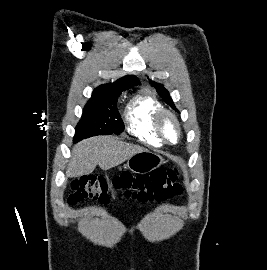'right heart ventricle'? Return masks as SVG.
<instances>
[{
  "instance_id": "obj_1",
  "label": "right heart ventricle",
  "mask_w": 267,
  "mask_h": 270,
  "mask_svg": "<svg viewBox=\"0 0 267 270\" xmlns=\"http://www.w3.org/2000/svg\"><path fill=\"white\" fill-rule=\"evenodd\" d=\"M161 108L160 101L150 91L135 94L124 111L128 131L145 144L162 146L163 142L156 134L153 123L155 113Z\"/></svg>"
}]
</instances>
